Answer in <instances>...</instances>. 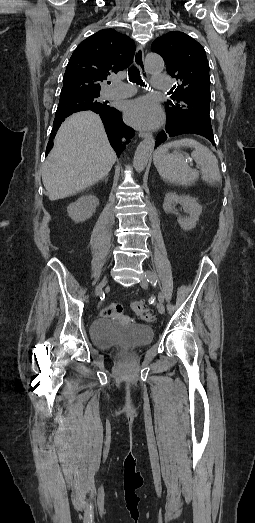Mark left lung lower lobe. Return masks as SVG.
I'll use <instances>...</instances> for the list:
<instances>
[{"mask_svg":"<svg viewBox=\"0 0 255 523\" xmlns=\"http://www.w3.org/2000/svg\"><path fill=\"white\" fill-rule=\"evenodd\" d=\"M168 111V110H164ZM184 132H191V135L194 137H208L209 145L215 146L217 144L216 137L217 134H210V130H205V127H200V125H195L191 123L183 124L181 123H172V125H166L165 128L159 130V137H155L156 144L154 147L162 146L164 144L163 140H168V137H177V134H184Z\"/></svg>","mask_w":255,"mask_h":523,"instance_id":"left-lung-lower-lobe-1","label":"left lung lower lobe"}]
</instances>
